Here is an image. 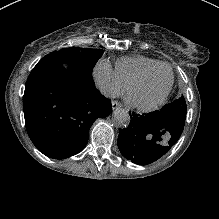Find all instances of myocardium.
I'll return each instance as SVG.
<instances>
[{
    "label": "myocardium",
    "instance_id": "myocardium-1",
    "mask_svg": "<svg viewBox=\"0 0 219 219\" xmlns=\"http://www.w3.org/2000/svg\"><path fill=\"white\" fill-rule=\"evenodd\" d=\"M161 67H167L171 73V81H170V84L168 86V89L156 102H153L151 104H140V103L135 102L131 97V93H132L133 89L135 88V86H137L139 83H141L142 81H144L147 78H149L150 76H152ZM174 80H175V74H174L173 69L169 65L159 63L156 67L150 68V69L144 71L143 73H141L139 76H137L130 83V85L128 86V89H127V99H128L129 104L132 107H134L140 111H150V110H154V109L160 107L167 100V98L172 90Z\"/></svg>",
    "mask_w": 219,
    "mask_h": 219
}]
</instances>
